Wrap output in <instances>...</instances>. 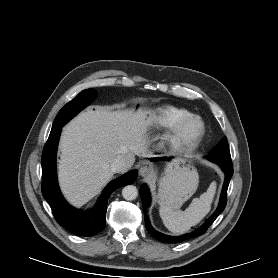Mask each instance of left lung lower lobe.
<instances>
[{
    "label": "left lung lower lobe",
    "mask_w": 278,
    "mask_h": 278,
    "mask_svg": "<svg viewBox=\"0 0 278 278\" xmlns=\"http://www.w3.org/2000/svg\"><path fill=\"white\" fill-rule=\"evenodd\" d=\"M156 160H168V158L161 157V158H156ZM219 166L221 167V169L225 173V181H224V184H223L219 205H218L216 211L209 217V219H207L206 222L200 228L196 229L195 231H193L191 233H187V234H184V235H181V236H169V235H165L163 233H160V232L156 231L152 227L148 217L145 216L146 228H147L148 232L154 238H156L157 240H159L161 242H164V243H180V242L185 241L187 239L200 236V235H202L206 232L208 227L215 221V219L220 215V213H222V211L224 210V208L226 206L227 189H228V186H229L230 179L233 175L232 165L219 164ZM140 195H141V198H142L144 213H146L147 207L150 205V202H151V197H150V192H149L148 187L144 184L140 188Z\"/></svg>",
    "instance_id": "0a47b994"
}]
</instances>
